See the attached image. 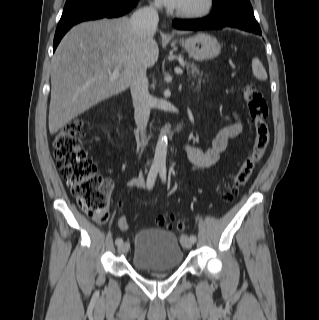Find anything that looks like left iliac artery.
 Masks as SVG:
<instances>
[{
    "instance_id": "obj_1",
    "label": "left iliac artery",
    "mask_w": 319,
    "mask_h": 320,
    "mask_svg": "<svg viewBox=\"0 0 319 320\" xmlns=\"http://www.w3.org/2000/svg\"><path fill=\"white\" fill-rule=\"evenodd\" d=\"M159 173H160V176H161L162 180L165 182V180H166V167L165 166H161L159 168ZM189 240L194 243L196 241V236L191 235Z\"/></svg>"
}]
</instances>
